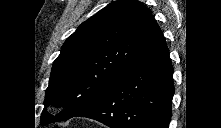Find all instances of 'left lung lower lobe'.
<instances>
[{
  "label": "left lung lower lobe",
  "instance_id": "left-lung-lower-lobe-1",
  "mask_svg": "<svg viewBox=\"0 0 221 128\" xmlns=\"http://www.w3.org/2000/svg\"><path fill=\"white\" fill-rule=\"evenodd\" d=\"M173 67L160 39L98 101L74 117L111 128H168L174 95Z\"/></svg>",
  "mask_w": 221,
  "mask_h": 128
}]
</instances>
